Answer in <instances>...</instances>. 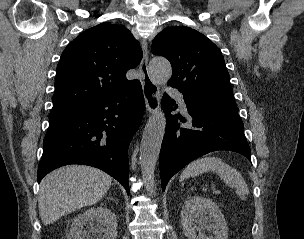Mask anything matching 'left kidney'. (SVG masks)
Returning <instances> with one entry per match:
<instances>
[{"label": "left kidney", "mask_w": 304, "mask_h": 239, "mask_svg": "<svg viewBox=\"0 0 304 239\" xmlns=\"http://www.w3.org/2000/svg\"><path fill=\"white\" fill-rule=\"evenodd\" d=\"M181 223L183 233L188 239L228 238L227 224L218 205L201 196L190 197L185 202L181 210ZM205 231L211 234L207 236Z\"/></svg>", "instance_id": "1"}]
</instances>
